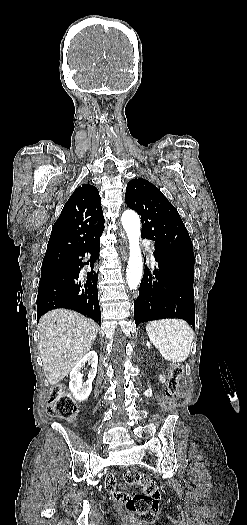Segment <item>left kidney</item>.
<instances>
[{
    "mask_svg": "<svg viewBox=\"0 0 247 525\" xmlns=\"http://www.w3.org/2000/svg\"><path fill=\"white\" fill-rule=\"evenodd\" d=\"M146 347H148V349H151L150 343H146Z\"/></svg>",
    "mask_w": 247,
    "mask_h": 525,
    "instance_id": "1",
    "label": "left kidney"
}]
</instances>
